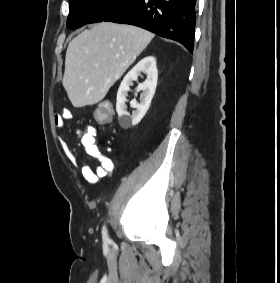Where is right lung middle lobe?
Returning <instances> with one entry per match:
<instances>
[{
	"mask_svg": "<svg viewBox=\"0 0 280 283\" xmlns=\"http://www.w3.org/2000/svg\"><path fill=\"white\" fill-rule=\"evenodd\" d=\"M132 0H69L66 26L80 28L89 23L104 21Z\"/></svg>",
	"mask_w": 280,
	"mask_h": 283,
	"instance_id": "right-lung-middle-lobe-1",
	"label": "right lung middle lobe"
}]
</instances>
